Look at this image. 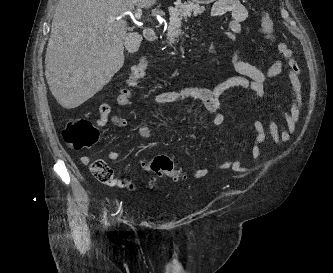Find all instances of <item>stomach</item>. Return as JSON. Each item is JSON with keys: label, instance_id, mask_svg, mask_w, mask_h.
Here are the masks:
<instances>
[{"label": "stomach", "instance_id": "obj_1", "mask_svg": "<svg viewBox=\"0 0 333 273\" xmlns=\"http://www.w3.org/2000/svg\"><path fill=\"white\" fill-rule=\"evenodd\" d=\"M192 1L197 4H209L211 2H214L215 0H192Z\"/></svg>", "mask_w": 333, "mask_h": 273}]
</instances>
